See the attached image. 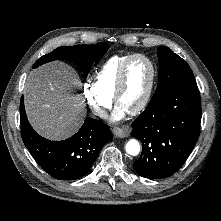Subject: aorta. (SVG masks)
<instances>
[{"instance_id":"aorta-1","label":"aorta","mask_w":221,"mask_h":221,"mask_svg":"<svg viewBox=\"0 0 221 221\" xmlns=\"http://www.w3.org/2000/svg\"><path fill=\"white\" fill-rule=\"evenodd\" d=\"M126 152L132 156L138 155L140 152L139 142L135 139L129 140L126 144Z\"/></svg>"}]
</instances>
